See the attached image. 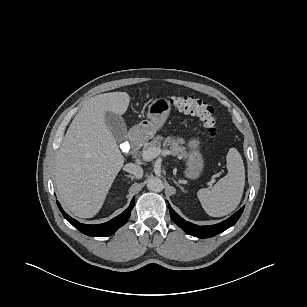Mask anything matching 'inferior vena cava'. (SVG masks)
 <instances>
[{
	"label": "inferior vena cava",
	"mask_w": 307,
	"mask_h": 307,
	"mask_svg": "<svg viewBox=\"0 0 307 307\" xmlns=\"http://www.w3.org/2000/svg\"><path fill=\"white\" fill-rule=\"evenodd\" d=\"M123 170L133 174L136 178H142L143 176V169L140 166L133 163L126 164L123 167Z\"/></svg>",
	"instance_id": "1"
}]
</instances>
